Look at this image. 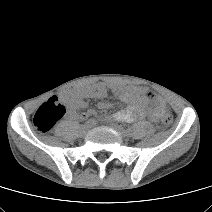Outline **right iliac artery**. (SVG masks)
<instances>
[{"mask_svg": "<svg viewBox=\"0 0 212 212\" xmlns=\"http://www.w3.org/2000/svg\"><path fill=\"white\" fill-rule=\"evenodd\" d=\"M95 124V120L94 119H89L85 125H93Z\"/></svg>", "mask_w": 212, "mask_h": 212, "instance_id": "82829eb1", "label": "right iliac artery"}]
</instances>
